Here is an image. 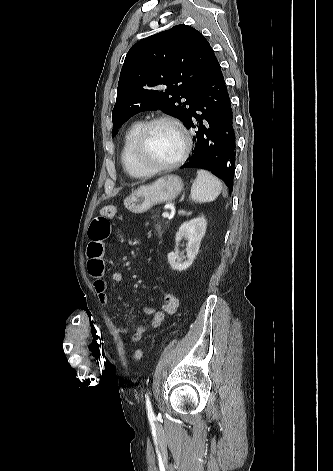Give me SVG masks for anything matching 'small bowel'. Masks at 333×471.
Wrapping results in <instances>:
<instances>
[{
    "label": "small bowel",
    "instance_id": "small-bowel-1",
    "mask_svg": "<svg viewBox=\"0 0 333 471\" xmlns=\"http://www.w3.org/2000/svg\"><path fill=\"white\" fill-rule=\"evenodd\" d=\"M111 234V224L109 217L103 215L95 217L90 224L88 235L89 244L87 247V268L89 274L94 278V289L101 304L106 305L109 302L107 294L108 283L104 279V242ZM111 280L119 283L123 280V274L114 271L111 274ZM161 303L159 309L151 307L144 308V314L150 318L149 322H144L134 328H120L122 335L129 337L131 341H139L149 329L158 328L165 320L166 316L173 315L179 305L178 298L170 292H165L160 297Z\"/></svg>",
    "mask_w": 333,
    "mask_h": 471
}]
</instances>
